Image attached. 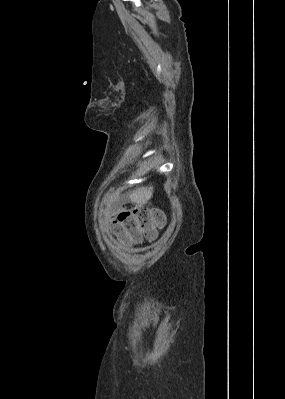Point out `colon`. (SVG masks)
<instances>
[{"instance_id":"5ec220e1","label":"colon","mask_w":285,"mask_h":399,"mask_svg":"<svg viewBox=\"0 0 285 399\" xmlns=\"http://www.w3.org/2000/svg\"><path fill=\"white\" fill-rule=\"evenodd\" d=\"M165 224L164 214L160 210L142 208L117 214L112 220L111 229L122 245H133L163 229Z\"/></svg>"}]
</instances>
